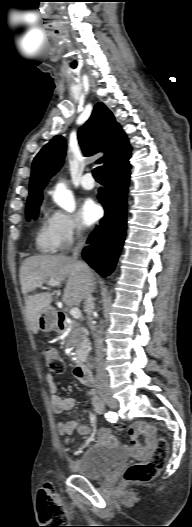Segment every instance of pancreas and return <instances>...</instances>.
Returning a JSON list of instances; mask_svg holds the SVG:
<instances>
[{"label": "pancreas", "instance_id": "cf45deb5", "mask_svg": "<svg viewBox=\"0 0 192 527\" xmlns=\"http://www.w3.org/2000/svg\"><path fill=\"white\" fill-rule=\"evenodd\" d=\"M68 327L70 328L67 336L68 343L74 345L77 351H80L87 342L85 330L79 323L74 321Z\"/></svg>", "mask_w": 192, "mask_h": 527}]
</instances>
